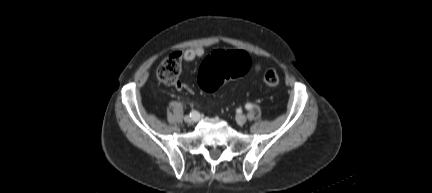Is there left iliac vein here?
Wrapping results in <instances>:
<instances>
[{
  "instance_id": "4c4485c4",
  "label": "left iliac vein",
  "mask_w": 432,
  "mask_h": 193,
  "mask_svg": "<svg viewBox=\"0 0 432 193\" xmlns=\"http://www.w3.org/2000/svg\"><path fill=\"white\" fill-rule=\"evenodd\" d=\"M246 121H247V117H246L245 115H243V114H238V115L236 116V122H237L239 125H243Z\"/></svg>"
}]
</instances>
